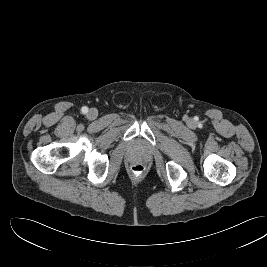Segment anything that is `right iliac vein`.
I'll list each match as a JSON object with an SVG mask.
<instances>
[{
    "instance_id": "63e3f726",
    "label": "right iliac vein",
    "mask_w": 267,
    "mask_h": 267,
    "mask_svg": "<svg viewBox=\"0 0 267 267\" xmlns=\"http://www.w3.org/2000/svg\"><path fill=\"white\" fill-rule=\"evenodd\" d=\"M97 115H98L97 110L92 108V109H90V110L88 111L87 117H88L89 119L93 120V119H95V118L97 117Z\"/></svg>"
}]
</instances>
